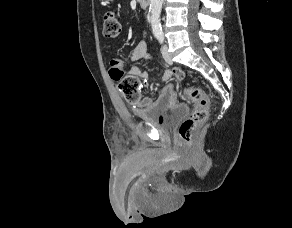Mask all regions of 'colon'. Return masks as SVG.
Wrapping results in <instances>:
<instances>
[{
    "label": "colon",
    "instance_id": "1",
    "mask_svg": "<svg viewBox=\"0 0 292 228\" xmlns=\"http://www.w3.org/2000/svg\"><path fill=\"white\" fill-rule=\"evenodd\" d=\"M103 33L107 38L116 39L121 35V23L112 12L106 13L103 18ZM111 78L118 83L121 94L129 102H136L140 97V84L135 76L124 75L119 66V59H113L109 69ZM186 98L194 104V109L179 126V135L187 143L191 142L198 126L208 117L210 99L198 87H187L184 90Z\"/></svg>",
    "mask_w": 292,
    "mask_h": 228
}]
</instances>
